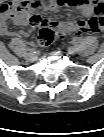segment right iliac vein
<instances>
[{
    "label": "right iliac vein",
    "mask_w": 104,
    "mask_h": 137,
    "mask_svg": "<svg viewBox=\"0 0 104 137\" xmlns=\"http://www.w3.org/2000/svg\"><path fill=\"white\" fill-rule=\"evenodd\" d=\"M25 58L29 62L35 61V55L32 52H29L25 55Z\"/></svg>",
    "instance_id": "63e3f726"
}]
</instances>
